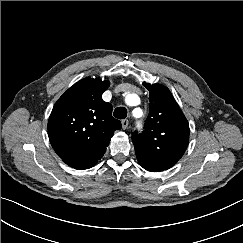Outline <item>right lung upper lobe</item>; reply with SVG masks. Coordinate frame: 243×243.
I'll list each match as a JSON object with an SVG mask.
<instances>
[{
  "mask_svg": "<svg viewBox=\"0 0 243 243\" xmlns=\"http://www.w3.org/2000/svg\"><path fill=\"white\" fill-rule=\"evenodd\" d=\"M109 82L84 78L55 103L48 120V136L57 155L70 167L88 169L104 155L121 122L112 117L102 93Z\"/></svg>",
  "mask_w": 243,
  "mask_h": 243,
  "instance_id": "1",
  "label": "right lung upper lobe"
}]
</instances>
